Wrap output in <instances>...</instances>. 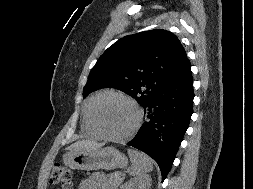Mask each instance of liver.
<instances>
[{
    "label": "liver",
    "instance_id": "6515ba94",
    "mask_svg": "<svg viewBox=\"0 0 253 189\" xmlns=\"http://www.w3.org/2000/svg\"><path fill=\"white\" fill-rule=\"evenodd\" d=\"M102 147V144H99L91 140H79L71 144L67 149L69 152H77L81 150H95Z\"/></svg>",
    "mask_w": 253,
    "mask_h": 189
}]
</instances>
